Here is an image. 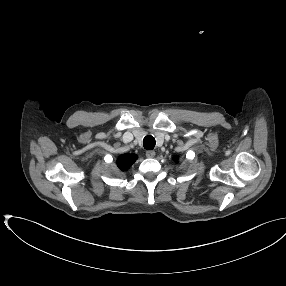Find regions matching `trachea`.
Wrapping results in <instances>:
<instances>
[{
    "mask_svg": "<svg viewBox=\"0 0 286 286\" xmlns=\"http://www.w3.org/2000/svg\"><path fill=\"white\" fill-rule=\"evenodd\" d=\"M155 143V138L151 135L146 136L143 140V146L147 150L153 149L155 147Z\"/></svg>",
    "mask_w": 286,
    "mask_h": 286,
    "instance_id": "trachea-1",
    "label": "trachea"
}]
</instances>
